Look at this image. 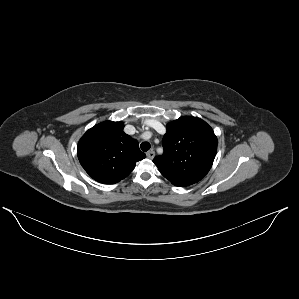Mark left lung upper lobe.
I'll return each mask as SVG.
<instances>
[{
  "mask_svg": "<svg viewBox=\"0 0 299 299\" xmlns=\"http://www.w3.org/2000/svg\"><path fill=\"white\" fill-rule=\"evenodd\" d=\"M162 145L163 154L153 162L173 185L189 186L209 172L217 152V137L202 119L184 116L167 125Z\"/></svg>",
  "mask_w": 299,
  "mask_h": 299,
  "instance_id": "5c2ea615",
  "label": "left lung upper lobe"
}]
</instances>
